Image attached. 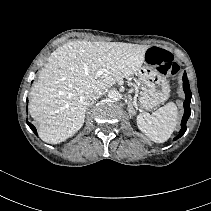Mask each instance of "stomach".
<instances>
[{
  "label": "stomach",
  "mask_w": 211,
  "mask_h": 211,
  "mask_svg": "<svg viewBox=\"0 0 211 211\" xmlns=\"http://www.w3.org/2000/svg\"><path fill=\"white\" fill-rule=\"evenodd\" d=\"M143 83L139 104L150 110L169 98L170 86L166 77L151 66H141L136 73Z\"/></svg>",
  "instance_id": "1"
}]
</instances>
